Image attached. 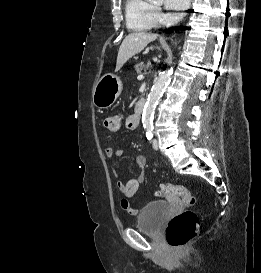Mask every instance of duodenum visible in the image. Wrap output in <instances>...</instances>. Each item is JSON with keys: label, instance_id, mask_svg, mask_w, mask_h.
I'll use <instances>...</instances> for the list:
<instances>
[{"label": "duodenum", "instance_id": "1", "mask_svg": "<svg viewBox=\"0 0 261 273\" xmlns=\"http://www.w3.org/2000/svg\"><path fill=\"white\" fill-rule=\"evenodd\" d=\"M144 105H145V103L143 100L138 101V103L136 104V109H135V114H134V122H135L136 126H138L140 123V119H141V115H142V112L144 109Z\"/></svg>", "mask_w": 261, "mask_h": 273}]
</instances>
